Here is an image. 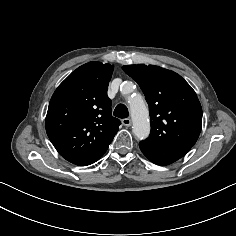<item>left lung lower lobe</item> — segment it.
Segmentation results:
<instances>
[{
    "mask_svg": "<svg viewBox=\"0 0 236 236\" xmlns=\"http://www.w3.org/2000/svg\"><path fill=\"white\" fill-rule=\"evenodd\" d=\"M142 153L153 163L158 165L171 164L184 155L190 147H169V146H151L143 142L139 143Z\"/></svg>",
    "mask_w": 236,
    "mask_h": 236,
    "instance_id": "0a47b994",
    "label": "left lung lower lobe"
}]
</instances>
